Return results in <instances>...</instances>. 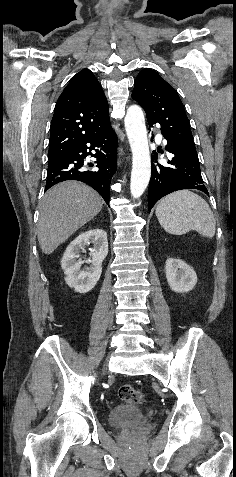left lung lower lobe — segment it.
<instances>
[{"mask_svg": "<svg viewBox=\"0 0 236 477\" xmlns=\"http://www.w3.org/2000/svg\"><path fill=\"white\" fill-rule=\"evenodd\" d=\"M166 151L170 153L166 166L157 162V152L153 151L152 161L155 160L157 164H152L151 169L149 212L159 199L177 190L198 189L209 195L201 176L198 156L179 150L171 144L166 145Z\"/></svg>", "mask_w": 236, "mask_h": 477, "instance_id": "1", "label": "left lung lower lobe"}]
</instances>
